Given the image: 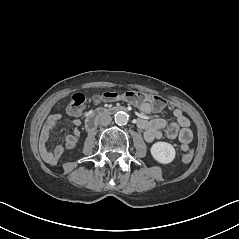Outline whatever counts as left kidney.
Wrapping results in <instances>:
<instances>
[{"label":"left kidney","mask_w":239,"mask_h":239,"mask_svg":"<svg viewBox=\"0 0 239 239\" xmlns=\"http://www.w3.org/2000/svg\"><path fill=\"white\" fill-rule=\"evenodd\" d=\"M151 154L159 163L167 164L175 158V149L167 142H156L151 147Z\"/></svg>","instance_id":"5707ae66"}]
</instances>
